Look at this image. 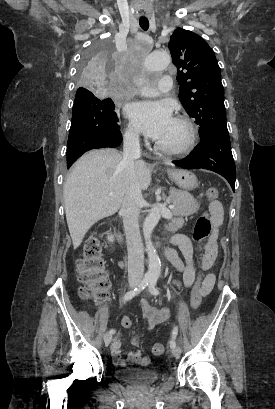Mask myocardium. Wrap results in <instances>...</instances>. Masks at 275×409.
<instances>
[{
	"instance_id": "obj_1",
	"label": "myocardium",
	"mask_w": 275,
	"mask_h": 409,
	"mask_svg": "<svg viewBox=\"0 0 275 409\" xmlns=\"http://www.w3.org/2000/svg\"><path fill=\"white\" fill-rule=\"evenodd\" d=\"M173 120L183 126L185 129V137L175 146H166L153 140L154 148L160 153L181 154L187 151L195 141V127L189 118L185 116H176Z\"/></svg>"
}]
</instances>
